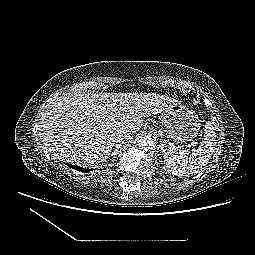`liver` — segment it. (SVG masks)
<instances>
[{
    "instance_id": "obj_1",
    "label": "liver",
    "mask_w": 255,
    "mask_h": 255,
    "mask_svg": "<svg viewBox=\"0 0 255 255\" xmlns=\"http://www.w3.org/2000/svg\"><path fill=\"white\" fill-rule=\"evenodd\" d=\"M174 101L156 93H66L43 112L39 138L53 157L91 166L108 158L118 132L137 133L146 117Z\"/></svg>"
}]
</instances>
